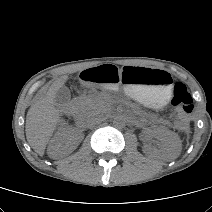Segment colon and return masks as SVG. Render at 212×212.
I'll list each match as a JSON object with an SVG mask.
<instances>
[{
  "label": "colon",
  "mask_w": 212,
  "mask_h": 212,
  "mask_svg": "<svg viewBox=\"0 0 212 212\" xmlns=\"http://www.w3.org/2000/svg\"><path fill=\"white\" fill-rule=\"evenodd\" d=\"M172 104L176 107L181 117H186L194 109L193 99L183 83H176L173 88Z\"/></svg>",
  "instance_id": "5ec220e1"
}]
</instances>
